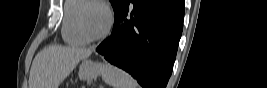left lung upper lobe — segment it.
I'll use <instances>...</instances> for the list:
<instances>
[{
	"label": "left lung upper lobe",
	"mask_w": 267,
	"mask_h": 88,
	"mask_svg": "<svg viewBox=\"0 0 267 88\" xmlns=\"http://www.w3.org/2000/svg\"><path fill=\"white\" fill-rule=\"evenodd\" d=\"M113 9H114V14L117 15L120 8L123 6V4L126 2V0H110Z\"/></svg>",
	"instance_id": "obj_1"
}]
</instances>
